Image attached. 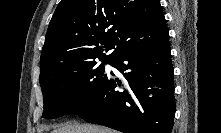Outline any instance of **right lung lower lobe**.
I'll list each match as a JSON object with an SVG mask.
<instances>
[{
	"label": "right lung lower lobe",
	"instance_id": "right-lung-lower-lobe-1",
	"mask_svg": "<svg viewBox=\"0 0 221 133\" xmlns=\"http://www.w3.org/2000/svg\"><path fill=\"white\" fill-rule=\"evenodd\" d=\"M168 40L121 54L112 66L125 72L124 91H115L118 81L109 77L76 115L124 133H171L175 99Z\"/></svg>",
	"mask_w": 221,
	"mask_h": 133
}]
</instances>
